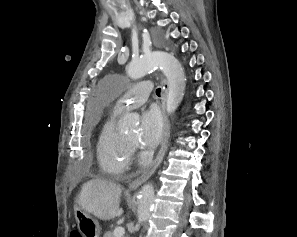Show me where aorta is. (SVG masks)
<instances>
[{
	"label": "aorta",
	"instance_id": "obj_1",
	"mask_svg": "<svg viewBox=\"0 0 297 237\" xmlns=\"http://www.w3.org/2000/svg\"><path fill=\"white\" fill-rule=\"evenodd\" d=\"M159 68L167 78V112L173 113L183 99L186 77L180 62L172 54L156 51L141 58L132 60L127 65V74L132 79H139L145 76L149 71ZM138 117L133 114L125 115L121 121V128L124 131L136 127ZM154 187L152 184H146L142 187L138 199V222H146L154 206Z\"/></svg>",
	"mask_w": 297,
	"mask_h": 237
}]
</instances>
